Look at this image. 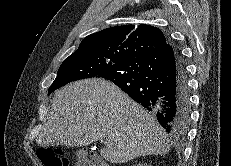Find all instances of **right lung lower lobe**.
Returning a JSON list of instances; mask_svg holds the SVG:
<instances>
[{
	"mask_svg": "<svg viewBox=\"0 0 231 166\" xmlns=\"http://www.w3.org/2000/svg\"><path fill=\"white\" fill-rule=\"evenodd\" d=\"M96 77L114 83L152 111L167 133L176 137L186 133L191 108L187 75L172 44L115 64Z\"/></svg>",
	"mask_w": 231,
	"mask_h": 166,
	"instance_id": "obj_1",
	"label": "right lung lower lobe"
}]
</instances>
